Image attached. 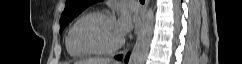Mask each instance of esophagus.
Returning <instances> with one entry per match:
<instances>
[{
  "instance_id": "1",
  "label": "esophagus",
  "mask_w": 242,
  "mask_h": 64,
  "mask_svg": "<svg viewBox=\"0 0 242 64\" xmlns=\"http://www.w3.org/2000/svg\"><path fill=\"white\" fill-rule=\"evenodd\" d=\"M147 7H148V0L145 1V4H144V6H143V13L146 12Z\"/></svg>"
}]
</instances>
